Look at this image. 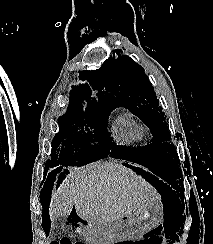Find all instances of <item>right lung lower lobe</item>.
Instances as JSON below:
<instances>
[{
  "instance_id": "1",
  "label": "right lung lower lobe",
  "mask_w": 213,
  "mask_h": 244,
  "mask_svg": "<svg viewBox=\"0 0 213 244\" xmlns=\"http://www.w3.org/2000/svg\"><path fill=\"white\" fill-rule=\"evenodd\" d=\"M62 169V167H57L56 169H54L52 172H50V174L48 175V178L45 182V185H44V188L41 192V203H42V206H43V212L45 211V203H44V197L45 195H49L51 189H52V186H53V182H54V179L56 177V173L59 172L60 170ZM47 191V192H46ZM47 193V194H46Z\"/></svg>"
}]
</instances>
